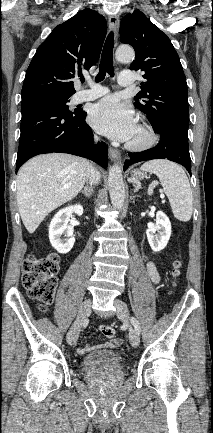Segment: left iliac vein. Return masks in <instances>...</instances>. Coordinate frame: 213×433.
Instances as JSON below:
<instances>
[{"label":"left iliac vein","instance_id":"1","mask_svg":"<svg viewBox=\"0 0 213 433\" xmlns=\"http://www.w3.org/2000/svg\"><path fill=\"white\" fill-rule=\"evenodd\" d=\"M114 304L116 307L117 317L122 321H125V322L128 321L129 310H128L127 305L122 300H119V299H116L114 301ZM129 341L133 347H138L140 344L139 335L131 328L129 330Z\"/></svg>","mask_w":213,"mask_h":433}]
</instances>
